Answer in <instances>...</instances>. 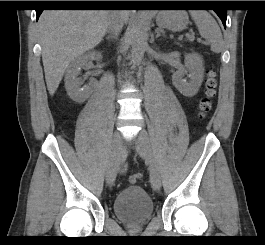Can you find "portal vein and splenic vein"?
Segmentation results:
<instances>
[{"label":"portal vein and splenic vein","instance_id":"obj_1","mask_svg":"<svg viewBox=\"0 0 265 245\" xmlns=\"http://www.w3.org/2000/svg\"><path fill=\"white\" fill-rule=\"evenodd\" d=\"M187 37L189 38V37H193V36H191V35H187Z\"/></svg>","mask_w":265,"mask_h":245}]
</instances>
